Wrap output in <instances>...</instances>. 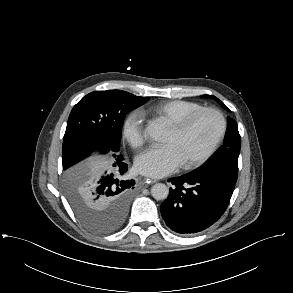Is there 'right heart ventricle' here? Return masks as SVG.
<instances>
[{"label":"right heart ventricle","instance_id":"e07e8e85","mask_svg":"<svg viewBox=\"0 0 293 293\" xmlns=\"http://www.w3.org/2000/svg\"><path fill=\"white\" fill-rule=\"evenodd\" d=\"M203 105L198 102L174 99L160 102L150 108V112L166 119L172 124L185 115L202 108Z\"/></svg>","mask_w":293,"mask_h":293}]
</instances>
